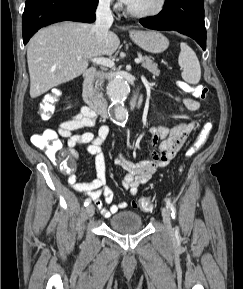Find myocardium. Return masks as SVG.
Masks as SVG:
<instances>
[{
    "instance_id": "1",
    "label": "myocardium",
    "mask_w": 243,
    "mask_h": 289,
    "mask_svg": "<svg viewBox=\"0 0 243 289\" xmlns=\"http://www.w3.org/2000/svg\"><path fill=\"white\" fill-rule=\"evenodd\" d=\"M167 0H158L155 7L147 11H135L132 10L128 5L126 6V13L135 18H148L160 14L166 7Z\"/></svg>"
}]
</instances>
